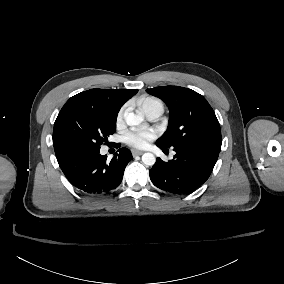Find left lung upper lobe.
I'll use <instances>...</instances> for the list:
<instances>
[{
  "label": "left lung upper lobe",
  "mask_w": 284,
  "mask_h": 284,
  "mask_svg": "<svg viewBox=\"0 0 284 284\" xmlns=\"http://www.w3.org/2000/svg\"><path fill=\"white\" fill-rule=\"evenodd\" d=\"M170 109L167 131L157 142L167 146H195L219 154L221 130L214 110L199 93L179 86L146 90Z\"/></svg>",
  "instance_id": "1"
}]
</instances>
